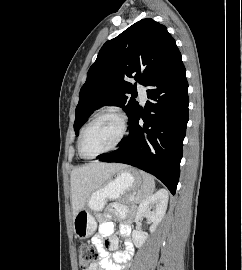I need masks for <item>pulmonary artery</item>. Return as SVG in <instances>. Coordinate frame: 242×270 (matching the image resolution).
Wrapping results in <instances>:
<instances>
[{
    "label": "pulmonary artery",
    "instance_id": "e3ab8cb5",
    "mask_svg": "<svg viewBox=\"0 0 242 270\" xmlns=\"http://www.w3.org/2000/svg\"><path fill=\"white\" fill-rule=\"evenodd\" d=\"M137 91L138 94L141 98L142 103H145V101L147 100V92H146V87L143 85H138L137 86Z\"/></svg>",
    "mask_w": 242,
    "mask_h": 270
}]
</instances>
